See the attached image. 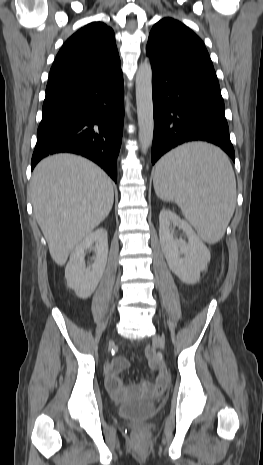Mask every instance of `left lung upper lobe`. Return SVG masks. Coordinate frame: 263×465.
Masks as SVG:
<instances>
[{
  "label": "left lung upper lobe",
  "mask_w": 263,
  "mask_h": 465,
  "mask_svg": "<svg viewBox=\"0 0 263 465\" xmlns=\"http://www.w3.org/2000/svg\"><path fill=\"white\" fill-rule=\"evenodd\" d=\"M146 52L173 63L196 64L213 68L202 40L192 30L173 18H164L153 26Z\"/></svg>",
  "instance_id": "1"
}]
</instances>
